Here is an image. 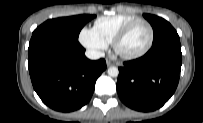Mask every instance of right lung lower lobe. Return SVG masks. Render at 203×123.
<instances>
[{
    "label": "right lung lower lobe",
    "instance_id": "98d812e1",
    "mask_svg": "<svg viewBox=\"0 0 203 123\" xmlns=\"http://www.w3.org/2000/svg\"><path fill=\"white\" fill-rule=\"evenodd\" d=\"M78 41L33 35L28 48L32 85L48 107L70 112L87 104L95 82L106 69L104 59L92 61Z\"/></svg>",
    "mask_w": 203,
    "mask_h": 123
}]
</instances>
